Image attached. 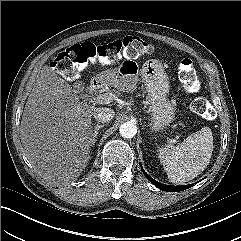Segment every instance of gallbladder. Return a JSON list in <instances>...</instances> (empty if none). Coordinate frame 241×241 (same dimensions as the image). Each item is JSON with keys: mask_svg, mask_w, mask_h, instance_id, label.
Masks as SVG:
<instances>
[{"mask_svg": "<svg viewBox=\"0 0 241 241\" xmlns=\"http://www.w3.org/2000/svg\"><path fill=\"white\" fill-rule=\"evenodd\" d=\"M75 88L79 91V92H82L83 89H84V84L82 82H77L75 84Z\"/></svg>", "mask_w": 241, "mask_h": 241, "instance_id": "obj_1", "label": "gallbladder"}]
</instances>
